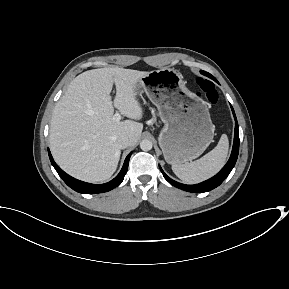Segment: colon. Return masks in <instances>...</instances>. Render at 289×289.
Listing matches in <instances>:
<instances>
[{
  "mask_svg": "<svg viewBox=\"0 0 289 289\" xmlns=\"http://www.w3.org/2000/svg\"><path fill=\"white\" fill-rule=\"evenodd\" d=\"M195 86L197 94L204 97L209 104L214 105L217 102L218 93L210 80L197 76L195 77Z\"/></svg>",
  "mask_w": 289,
  "mask_h": 289,
  "instance_id": "colon-1",
  "label": "colon"
}]
</instances>
